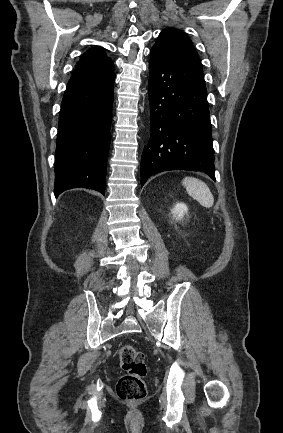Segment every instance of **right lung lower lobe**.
<instances>
[{"instance_id": "right-lung-lower-lobe-1", "label": "right lung lower lobe", "mask_w": 283, "mask_h": 433, "mask_svg": "<svg viewBox=\"0 0 283 433\" xmlns=\"http://www.w3.org/2000/svg\"><path fill=\"white\" fill-rule=\"evenodd\" d=\"M104 80L67 87L59 116L54 193L85 187L105 195L113 84Z\"/></svg>"}]
</instances>
